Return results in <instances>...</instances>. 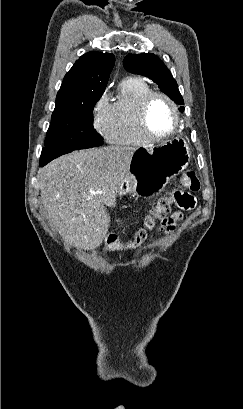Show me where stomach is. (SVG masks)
<instances>
[{
	"label": "stomach",
	"instance_id": "1",
	"mask_svg": "<svg viewBox=\"0 0 243 409\" xmlns=\"http://www.w3.org/2000/svg\"><path fill=\"white\" fill-rule=\"evenodd\" d=\"M190 158V148L182 138L137 149L132 156L129 173L120 184L118 192L120 195L157 194L170 179L188 166Z\"/></svg>",
	"mask_w": 243,
	"mask_h": 409
}]
</instances>
